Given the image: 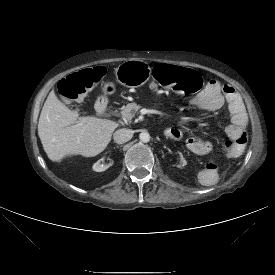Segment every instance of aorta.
<instances>
[{
  "instance_id": "1",
  "label": "aorta",
  "mask_w": 275,
  "mask_h": 275,
  "mask_svg": "<svg viewBox=\"0 0 275 275\" xmlns=\"http://www.w3.org/2000/svg\"><path fill=\"white\" fill-rule=\"evenodd\" d=\"M150 138H151L150 134L146 131L141 132L140 135H139V139L144 143L149 142Z\"/></svg>"
}]
</instances>
